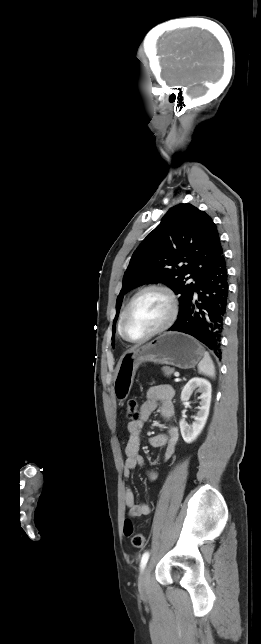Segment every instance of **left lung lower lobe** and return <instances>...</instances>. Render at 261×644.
Instances as JSON below:
<instances>
[{
	"label": "left lung lower lobe",
	"mask_w": 261,
	"mask_h": 644,
	"mask_svg": "<svg viewBox=\"0 0 261 644\" xmlns=\"http://www.w3.org/2000/svg\"><path fill=\"white\" fill-rule=\"evenodd\" d=\"M228 294V272L222 253L211 264L188 305L169 330L195 337L220 358Z\"/></svg>",
	"instance_id": "0a47b994"
}]
</instances>
